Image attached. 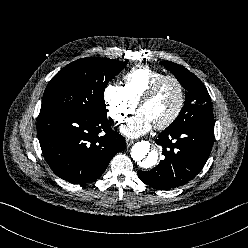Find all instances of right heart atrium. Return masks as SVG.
Segmentation results:
<instances>
[{
  "label": "right heart atrium",
  "mask_w": 248,
  "mask_h": 248,
  "mask_svg": "<svg viewBox=\"0 0 248 248\" xmlns=\"http://www.w3.org/2000/svg\"><path fill=\"white\" fill-rule=\"evenodd\" d=\"M103 97L108 114L116 123L124 121L136 108V104L130 100L123 87L116 84H108Z\"/></svg>",
  "instance_id": "1"
}]
</instances>
